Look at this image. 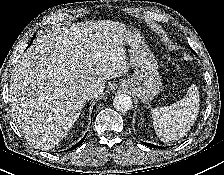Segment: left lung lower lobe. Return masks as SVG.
I'll return each mask as SVG.
<instances>
[{
	"label": "left lung lower lobe",
	"mask_w": 224,
	"mask_h": 175,
	"mask_svg": "<svg viewBox=\"0 0 224 175\" xmlns=\"http://www.w3.org/2000/svg\"><path fill=\"white\" fill-rule=\"evenodd\" d=\"M145 146H148V147H151V148H167V147H160V146H156V145H153L151 143H146V142H142Z\"/></svg>",
	"instance_id": "0a47b994"
}]
</instances>
